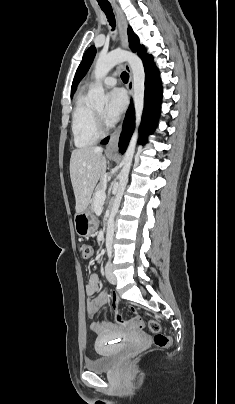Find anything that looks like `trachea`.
I'll list each match as a JSON object with an SVG mask.
<instances>
[{"mask_svg": "<svg viewBox=\"0 0 235 404\" xmlns=\"http://www.w3.org/2000/svg\"><path fill=\"white\" fill-rule=\"evenodd\" d=\"M100 8L103 10V12L106 14L107 19L111 27L115 28V17L111 8L110 4H99ZM121 79L123 82H128L129 79V74L127 72H122L121 74Z\"/></svg>", "mask_w": 235, "mask_h": 404, "instance_id": "1", "label": "trachea"}]
</instances>
